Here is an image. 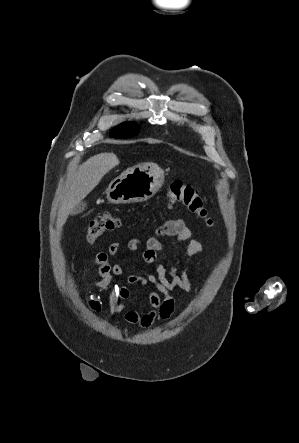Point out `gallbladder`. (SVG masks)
Segmentation results:
<instances>
[{"label": "gallbladder", "mask_w": 299, "mask_h": 443, "mask_svg": "<svg viewBox=\"0 0 299 443\" xmlns=\"http://www.w3.org/2000/svg\"><path fill=\"white\" fill-rule=\"evenodd\" d=\"M86 207H87V204L85 202H79L77 205H75L73 207L70 214L71 215L80 214L85 210Z\"/></svg>", "instance_id": "obj_1"}]
</instances>
